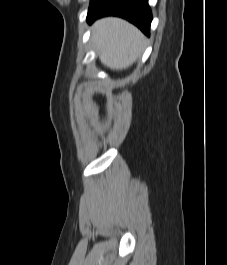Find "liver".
I'll list each match as a JSON object with an SVG mask.
<instances>
[{
	"label": "liver",
	"mask_w": 227,
	"mask_h": 265,
	"mask_svg": "<svg viewBox=\"0 0 227 265\" xmlns=\"http://www.w3.org/2000/svg\"><path fill=\"white\" fill-rule=\"evenodd\" d=\"M92 39L102 64L112 70H122L131 66L141 55L146 45V37L129 22L106 17L92 26ZM91 115L97 110L91 104H85Z\"/></svg>",
	"instance_id": "obj_1"
}]
</instances>
